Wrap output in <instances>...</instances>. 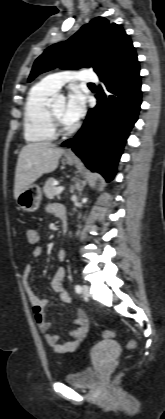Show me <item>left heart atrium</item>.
<instances>
[{
	"instance_id": "obj_1",
	"label": "left heart atrium",
	"mask_w": 165,
	"mask_h": 419,
	"mask_svg": "<svg viewBox=\"0 0 165 419\" xmlns=\"http://www.w3.org/2000/svg\"><path fill=\"white\" fill-rule=\"evenodd\" d=\"M85 96L77 89H72L67 97L65 104L64 118L68 123L78 121L85 112Z\"/></svg>"
}]
</instances>
